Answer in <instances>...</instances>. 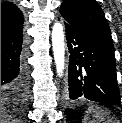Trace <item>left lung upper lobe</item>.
Masks as SVG:
<instances>
[{
    "mask_svg": "<svg viewBox=\"0 0 122 123\" xmlns=\"http://www.w3.org/2000/svg\"><path fill=\"white\" fill-rule=\"evenodd\" d=\"M60 13L66 23L114 47L104 12L95 0H64Z\"/></svg>",
    "mask_w": 122,
    "mask_h": 123,
    "instance_id": "obj_1",
    "label": "left lung upper lobe"
}]
</instances>
